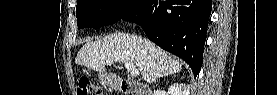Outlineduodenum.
<instances>
[{"label": "duodenum", "mask_w": 277, "mask_h": 95, "mask_svg": "<svg viewBox=\"0 0 277 95\" xmlns=\"http://www.w3.org/2000/svg\"><path fill=\"white\" fill-rule=\"evenodd\" d=\"M107 78L112 88H118L124 94H136V95L146 94V89L142 84L134 83V82L127 81L121 78H116L113 76H108Z\"/></svg>", "instance_id": "duodenum-1"}]
</instances>
